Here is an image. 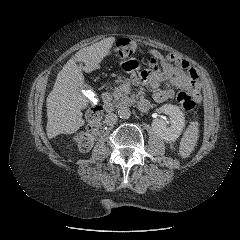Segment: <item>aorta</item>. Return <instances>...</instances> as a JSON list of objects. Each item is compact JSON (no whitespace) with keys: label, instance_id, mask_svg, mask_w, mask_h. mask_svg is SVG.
<instances>
[{"label":"aorta","instance_id":"762f6f07","mask_svg":"<svg viewBox=\"0 0 240 240\" xmlns=\"http://www.w3.org/2000/svg\"><path fill=\"white\" fill-rule=\"evenodd\" d=\"M118 115L121 119H128L131 116V110L123 106L118 109Z\"/></svg>","mask_w":240,"mask_h":240}]
</instances>
